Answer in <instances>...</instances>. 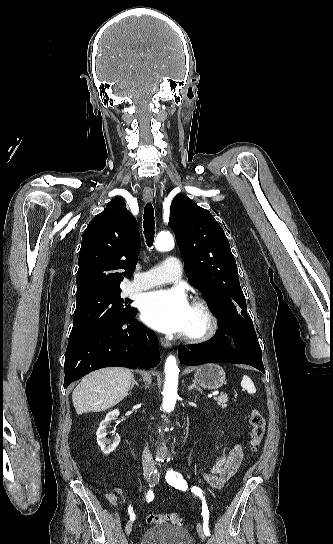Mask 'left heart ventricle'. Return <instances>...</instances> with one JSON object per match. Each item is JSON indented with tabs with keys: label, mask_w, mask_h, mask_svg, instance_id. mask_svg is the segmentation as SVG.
Wrapping results in <instances>:
<instances>
[{
	"label": "left heart ventricle",
	"mask_w": 333,
	"mask_h": 544,
	"mask_svg": "<svg viewBox=\"0 0 333 544\" xmlns=\"http://www.w3.org/2000/svg\"><path fill=\"white\" fill-rule=\"evenodd\" d=\"M203 326H204V317L202 313L198 309L192 306L189 321L184 332H187V333L197 332V331H200L203 328Z\"/></svg>",
	"instance_id": "b2bd125f"
}]
</instances>
